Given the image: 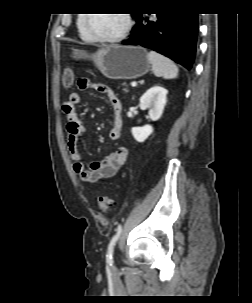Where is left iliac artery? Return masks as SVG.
I'll use <instances>...</instances> for the list:
<instances>
[{"mask_svg": "<svg viewBox=\"0 0 252 303\" xmlns=\"http://www.w3.org/2000/svg\"><path fill=\"white\" fill-rule=\"evenodd\" d=\"M122 231V227L121 225H118L117 229H116V234L112 237L109 245H108V251H107V261L108 262H112L113 260V252H114V246L121 234Z\"/></svg>", "mask_w": 252, "mask_h": 303, "instance_id": "1", "label": "left iliac artery"}]
</instances>
